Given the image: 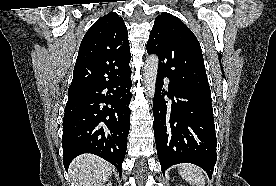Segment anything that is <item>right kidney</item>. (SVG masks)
<instances>
[{
	"instance_id": "ca27d5eb",
	"label": "right kidney",
	"mask_w": 276,
	"mask_h": 186,
	"mask_svg": "<svg viewBox=\"0 0 276 186\" xmlns=\"http://www.w3.org/2000/svg\"><path fill=\"white\" fill-rule=\"evenodd\" d=\"M106 186H112L111 183H108Z\"/></svg>"
}]
</instances>
